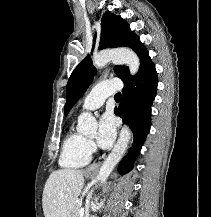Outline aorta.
Wrapping results in <instances>:
<instances>
[{
	"instance_id": "1",
	"label": "aorta",
	"mask_w": 211,
	"mask_h": 217,
	"mask_svg": "<svg viewBox=\"0 0 211 217\" xmlns=\"http://www.w3.org/2000/svg\"><path fill=\"white\" fill-rule=\"evenodd\" d=\"M110 61L117 64H127L131 75H135L140 67L138 56L133 51L126 48L102 51L93 58V64L96 68H101ZM96 128L97 122L90 113H82L78 117V130L83 134H93ZM130 139L131 131L127 125H124L121 129L117 144L99 170L97 179L101 184L107 180L115 165L124 155Z\"/></svg>"
}]
</instances>
